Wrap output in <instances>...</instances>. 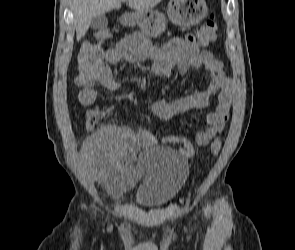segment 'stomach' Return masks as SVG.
<instances>
[{
	"instance_id": "0dacf381",
	"label": "stomach",
	"mask_w": 295,
	"mask_h": 250,
	"mask_svg": "<svg viewBox=\"0 0 295 250\" xmlns=\"http://www.w3.org/2000/svg\"><path fill=\"white\" fill-rule=\"evenodd\" d=\"M207 14L205 0H169L167 15L178 26H192L200 23ZM124 26H138L148 37H157L166 28L164 14L154 10H137L121 17Z\"/></svg>"
}]
</instances>
